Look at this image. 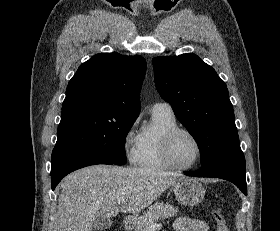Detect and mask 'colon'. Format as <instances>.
<instances>
[{
    "label": "colon",
    "instance_id": "colon-1",
    "mask_svg": "<svg viewBox=\"0 0 280 231\" xmlns=\"http://www.w3.org/2000/svg\"><path fill=\"white\" fill-rule=\"evenodd\" d=\"M212 216L216 223V231H229L228 225L219 209L213 208Z\"/></svg>",
    "mask_w": 280,
    "mask_h": 231
}]
</instances>
